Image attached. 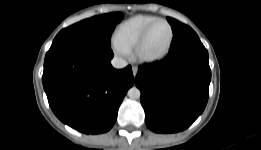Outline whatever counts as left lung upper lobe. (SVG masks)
<instances>
[{"instance_id":"5c2ea615","label":"left lung upper lobe","mask_w":261,"mask_h":150,"mask_svg":"<svg viewBox=\"0 0 261 150\" xmlns=\"http://www.w3.org/2000/svg\"><path fill=\"white\" fill-rule=\"evenodd\" d=\"M168 22L170 23L171 27H172V31L173 33L175 34L176 32L184 29L187 25L175 20V19H172L170 17L167 18Z\"/></svg>"}]
</instances>
